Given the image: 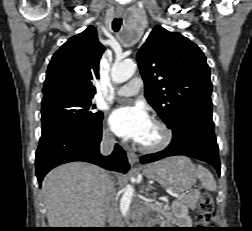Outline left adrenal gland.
Instances as JSON below:
<instances>
[{
  "instance_id": "1",
  "label": "left adrenal gland",
  "mask_w": 252,
  "mask_h": 231,
  "mask_svg": "<svg viewBox=\"0 0 252 231\" xmlns=\"http://www.w3.org/2000/svg\"><path fill=\"white\" fill-rule=\"evenodd\" d=\"M152 189H153V187L150 184H148L146 187L145 193L148 194V192Z\"/></svg>"
}]
</instances>
